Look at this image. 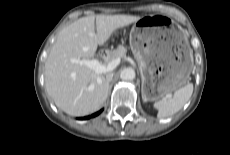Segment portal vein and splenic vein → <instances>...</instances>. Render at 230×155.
<instances>
[{
  "instance_id": "portal-vein-and-splenic-vein-1",
  "label": "portal vein and splenic vein",
  "mask_w": 230,
  "mask_h": 155,
  "mask_svg": "<svg viewBox=\"0 0 230 155\" xmlns=\"http://www.w3.org/2000/svg\"><path fill=\"white\" fill-rule=\"evenodd\" d=\"M71 61L73 63L84 64L87 67H89L90 69L94 70L95 73L101 74V73H106V72H110V71L114 70L119 65L120 58H116L107 64H103L102 62H100L97 59L85 60V61H81V60H77V59H71Z\"/></svg>"
}]
</instances>
